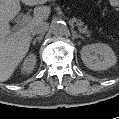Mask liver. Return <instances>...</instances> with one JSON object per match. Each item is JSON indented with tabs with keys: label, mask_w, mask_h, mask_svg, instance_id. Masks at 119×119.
I'll list each match as a JSON object with an SVG mask.
<instances>
[{
	"label": "liver",
	"mask_w": 119,
	"mask_h": 119,
	"mask_svg": "<svg viewBox=\"0 0 119 119\" xmlns=\"http://www.w3.org/2000/svg\"><path fill=\"white\" fill-rule=\"evenodd\" d=\"M48 0H22L29 6L40 5ZM20 0H0V82L7 81L27 54L31 42V30L50 14L49 7H36L30 24L16 32H10L9 22L19 13Z\"/></svg>",
	"instance_id": "6515ba94"
}]
</instances>
